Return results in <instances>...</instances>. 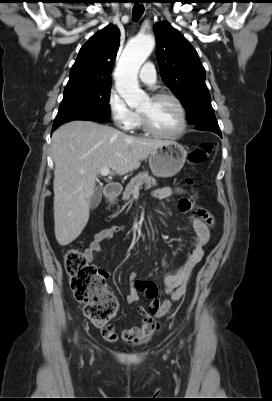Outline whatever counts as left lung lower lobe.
Wrapping results in <instances>:
<instances>
[{
  "label": "left lung lower lobe",
  "instance_id": "left-lung-lower-lobe-1",
  "mask_svg": "<svg viewBox=\"0 0 272 401\" xmlns=\"http://www.w3.org/2000/svg\"><path fill=\"white\" fill-rule=\"evenodd\" d=\"M195 127L198 130L212 131V132L218 134L220 137H222L217 120H209V121L200 122V123L195 124Z\"/></svg>",
  "mask_w": 272,
  "mask_h": 401
}]
</instances>
